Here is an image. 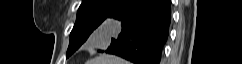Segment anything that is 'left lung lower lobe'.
Here are the masks:
<instances>
[{
	"label": "left lung lower lobe",
	"mask_w": 242,
	"mask_h": 64,
	"mask_svg": "<svg viewBox=\"0 0 242 64\" xmlns=\"http://www.w3.org/2000/svg\"><path fill=\"white\" fill-rule=\"evenodd\" d=\"M119 21L121 31L99 52L134 64H160L171 24V0H125L103 20Z\"/></svg>",
	"instance_id": "left-lung-lower-lobe-1"
}]
</instances>
